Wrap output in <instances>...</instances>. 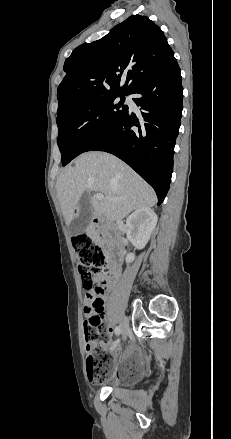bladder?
I'll return each mask as SVG.
<instances>
[{
	"mask_svg": "<svg viewBox=\"0 0 231 439\" xmlns=\"http://www.w3.org/2000/svg\"><path fill=\"white\" fill-rule=\"evenodd\" d=\"M145 367L142 359L138 356H134L128 359V364H126L123 371V375L127 379H137L144 374Z\"/></svg>",
	"mask_w": 231,
	"mask_h": 439,
	"instance_id": "obj_1",
	"label": "bladder"
}]
</instances>
